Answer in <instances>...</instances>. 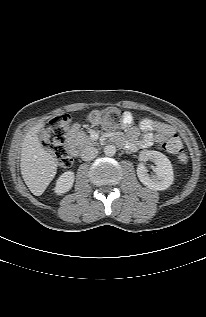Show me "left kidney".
<instances>
[{
    "label": "left kidney",
    "mask_w": 206,
    "mask_h": 317,
    "mask_svg": "<svg viewBox=\"0 0 206 317\" xmlns=\"http://www.w3.org/2000/svg\"><path fill=\"white\" fill-rule=\"evenodd\" d=\"M139 158L141 161L151 160L155 164L153 168L155 175H149L143 163L138 165L137 175L142 184L153 190H165L172 185L174 180L172 164L164 154L146 150L140 153Z\"/></svg>",
    "instance_id": "obj_1"
}]
</instances>
